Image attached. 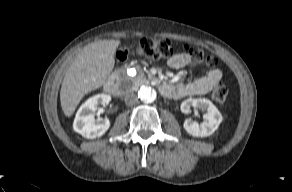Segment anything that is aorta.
Returning a JSON list of instances; mask_svg holds the SVG:
<instances>
[{
    "label": "aorta",
    "mask_w": 292,
    "mask_h": 192,
    "mask_svg": "<svg viewBox=\"0 0 292 192\" xmlns=\"http://www.w3.org/2000/svg\"><path fill=\"white\" fill-rule=\"evenodd\" d=\"M156 96V91L151 86H142L138 91V97L144 103L154 102Z\"/></svg>",
    "instance_id": "obj_1"
}]
</instances>
